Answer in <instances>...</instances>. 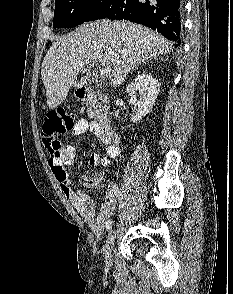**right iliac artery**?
I'll list each match as a JSON object with an SVG mask.
<instances>
[{"instance_id":"1","label":"right iliac artery","mask_w":233,"mask_h":294,"mask_svg":"<svg viewBox=\"0 0 233 294\" xmlns=\"http://www.w3.org/2000/svg\"><path fill=\"white\" fill-rule=\"evenodd\" d=\"M111 227H112V220H108L106 222V229H107V231H109L111 229Z\"/></svg>"}]
</instances>
